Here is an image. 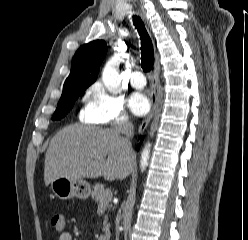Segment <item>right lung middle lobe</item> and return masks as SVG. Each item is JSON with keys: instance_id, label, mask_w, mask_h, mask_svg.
I'll list each match as a JSON object with an SVG mask.
<instances>
[{"instance_id": "right-lung-middle-lobe-1", "label": "right lung middle lobe", "mask_w": 248, "mask_h": 240, "mask_svg": "<svg viewBox=\"0 0 248 240\" xmlns=\"http://www.w3.org/2000/svg\"><path fill=\"white\" fill-rule=\"evenodd\" d=\"M87 87L78 84H69L63 87L62 96L58 102L56 111L53 114L52 120H60L72 108L75 100Z\"/></svg>"}]
</instances>
